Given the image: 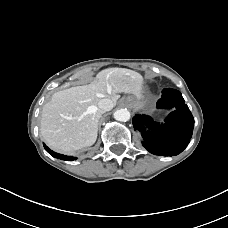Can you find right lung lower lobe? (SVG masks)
Here are the masks:
<instances>
[{
	"instance_id": "1",
	"label": "right lung lower lobe",
	"mask_w": 228,
	"mask_h": 228,
	"mask_svg": "<svg viewBox=\"0 0 228 228\" xmlns=\"http://www.w3.org/2000/svg\"><path fill=\"white\" fill-rule=\"evenodd\" d=\"M44 148L50 155H52L55 158L66 160V161H73L77 159L76 157H73V156H65L62 154L55 153L52 150H50L45 144H44Z\"/></svg>"
}]
</instances>
